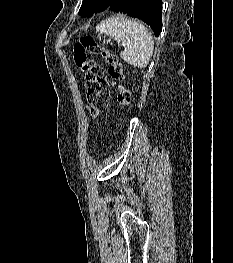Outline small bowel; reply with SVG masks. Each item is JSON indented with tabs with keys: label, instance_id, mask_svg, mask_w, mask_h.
Masks as SVG:
<instances>
[{
	"label": "small bowel",
	"instance_id": "obj_1",
	"mask_svg": "<svg viewBox=\"0 0 233 263\" xmlns=\"http://www.w3.org/2000/svg\"><path fill=\"white\" fill-rule=\"evenodd\" d=\"M115 85V83L114 82H112V86H114Z\"/></svg>",
	"mask_w": 233,
	"mask_h": 263
}]
</instances>
